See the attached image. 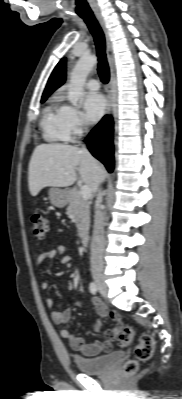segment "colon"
<instances>
[{
	"label": "colon",
	"mask_w": 182,
	"mask_h": 399,
	"mask_svg": "<svg viewBox=\"0 0 182 399\" xmlns=\"http://www.w3.org/2000/svg\"><path fill=\"white\" fill-rule=\"evenodd\" d=\"M49 229L47 220L40 213H33L31 216V231L36 240H42ZM135 336V328L125 325L119 331V343L122 346L131 344ZM154 351V338L150 334H143L139 343L135 347V358L128 360L123 366V372L127 375L133 374L138 370L139 362L147 361L151 358Z\"/></svg>",
	"instance_id": "5ec220e1"
}]
</instances>
